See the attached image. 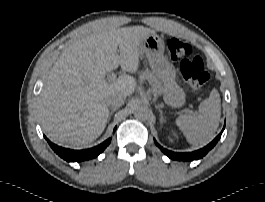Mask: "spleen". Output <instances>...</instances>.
Instances as JSON below:
<instances>
[{"mask_svg":"<svg viewBox=\"0 0 265 202\" xmlns=\"http://www.w3.org/2000/svg\"><path fill=\"white\" fill-rule=\"evenodd\" d=\"M221 100L216 89L199 105L195 115L185 114L176 119V125L187 141L194 146L207 144L216 132L221 116Z\"/></svg>","mask_w":265,"mask_h":202,"instance_id":"spleen-1","label":"spleen"}]
</instances>
